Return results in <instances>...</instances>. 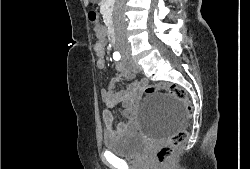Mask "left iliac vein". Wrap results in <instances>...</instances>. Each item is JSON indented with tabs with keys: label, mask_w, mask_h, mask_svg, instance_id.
Wrapping results in <instances>:
<instances>
[{
	"label": "left iliac vein",
	"mask_w": 250,
	"mask_h": 169,
	"mask_svg": "<svg viewBox=\"0 0 250 169\" xmlns=\"http://www.w3.org/2000/svg\"><path fill=\"white\" fill-rule=\"evenodd\" d=\"M128 70L129 72L128 73H138L140 72V68L138 66V64L136 62H130L129 65H128Z\"/></svg>",
	"instance_id": "1"
}]
</instances>
